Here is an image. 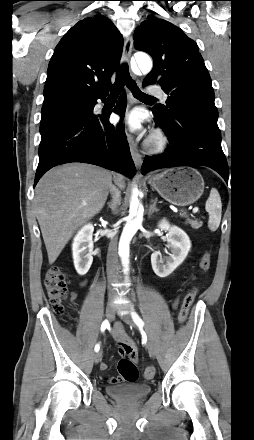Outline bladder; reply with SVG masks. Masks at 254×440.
<instances>
[{"label": "bladder", "mask_w": 254, "mask_h": 440, "mask_svg": "<svg viewBox=\"0 0 254 440\" xmlns=\"http://www.w3.org/2000/svg\"><path fill=\"white\" fill-rule=\"evenodd\" d=\"M151 390V385L144 383H128L106 387V392L110 397L124 401L139 400L150 394Z\"/></svg>", "instance_id": "bladder-1"}]
</instances>
